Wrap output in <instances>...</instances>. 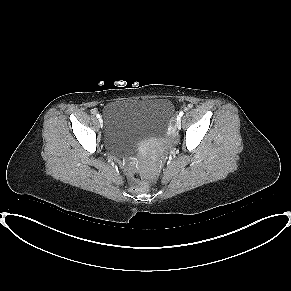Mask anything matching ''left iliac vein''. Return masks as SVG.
<instances>
[{"label":"left iliac vein","mask_w":291,"mask_h":291,"mask_svg":"<svg viewBox=\"0 0 291 291\" xmlns=\"http://www.w3.org/2000/svg\"><path fill=\"white\" fill-rule=\"evenodd\" d=\"M176 126H177V128H180L181 127V117L180 116H177Z\"/></svg>","instance_id":"4c4485c4"}]
</instances>
